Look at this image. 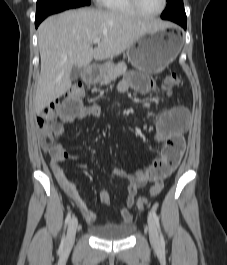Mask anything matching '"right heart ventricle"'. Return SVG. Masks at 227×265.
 Here are the masks:
<instances>
[{
    "label": "right heart ventricle",
    "instance_id": "e07e8e85",
    "mask_svg": "<svg viewBox=\"0 0 227 265\" xmlns=\"http://www.w3.org/2000/svg\"><path fill=\"white\" fill-rule=\"evenodd\" d=\"M106 10L114 13L136 16L138 13L131 6L129 0H98Z\"/></svg>",
    "mask_w": 227,
    "mask_h": 265
}]
</instances>
